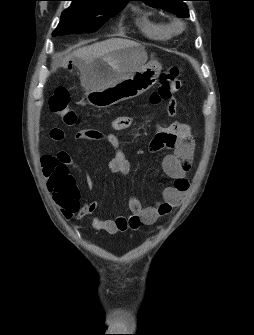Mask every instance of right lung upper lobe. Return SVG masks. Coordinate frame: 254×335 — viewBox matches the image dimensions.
Masks as SVG:
<instances>
[{
	"mask_svg": "<svg viewBox=\"0 0 254 335\" xmlns=\"http://www.w3.org/2000/svg\"><path fill=\"white\" fill-rule=\"evenodd\" d=\"M105 4H126L129 0H80Z\"/></svg>",
	"mask_w": 254,
	"mask_h": 335,
	"instance_id": "obj_1",
	"label": "right lung upper lobe"
}]
</instances>
